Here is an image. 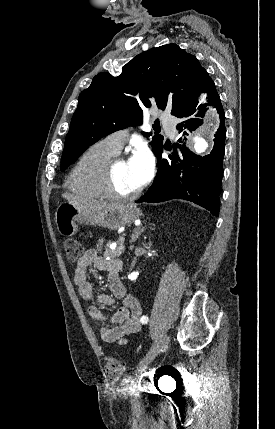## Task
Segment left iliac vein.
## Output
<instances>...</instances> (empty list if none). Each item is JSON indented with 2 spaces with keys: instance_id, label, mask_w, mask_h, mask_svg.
Masks as SVG:
<instances>
[{
  "instance_id": "left-iliac-vein-1",
  "label": "left iliac vein",
  "mask_w": 275,
  "mask_h": 429,
  "mask_svg": "<svg viewBox=\"0 0 275 429\" xmlns=\"http://www.w3.org/2000/svg\"><path fill=\"white\" fill-rule=\"evenodd\" d=\"M169 342V337L167 335H165L160 344L155 343L150 351L146 354V356L140 361L139 365H138V372H142L144 371L148 364L161 352L164 351L167 348Z\"/></svg>"
}]
</instances>
